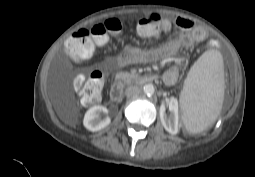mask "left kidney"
Instances as JSON below:
<instances>
[{
  "instance_id": "5707ae66",
  "label": "left kidney",
  "mask_w": 255,
  "mask_h": 177,
  "mask_svg": "<svg viewBox=\"0 0 255 177\" xmlns=\"http://www.w3.org/2000/svg\"><path fill=\"white\" fill-rule=\"evenodd\" d=\"M168 107H169L170 115L167 116L165 114V109L161 107L160 119L166 131H168L170 134H177L178 121H179L177 99L171 98L170 102L168 103Z\"/></svg>"
}]
</instances>
